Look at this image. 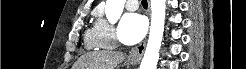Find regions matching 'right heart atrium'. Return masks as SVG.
I'll return each instance as SVG.
<instances>
[{
    "instance_id": "obj_1",
    "label": "right heart atrium",
    "mask_w": 246,
    "mask_h": 69,
    "mask_svg": "<svg viewBox=\"0 0 246 69\" xmlns=\"http://www.w3.org/2000/svg\"><path fill=\"white\" fill-rule=\"evenodd\" d=\"M95 28L99 35L101 46L110 47L117 43L115 28L108 21L99 19Z\"/></svg>"
}]
</instances>
